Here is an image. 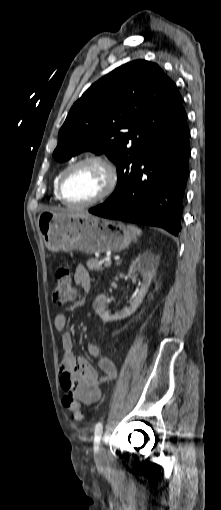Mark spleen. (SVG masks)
<instances>
[{"instance_id":"obj_1","label":"spleen","mask_w":221,"mask_h":510,"mask_svg":"<svg viewBox=\"0 0 221 510\" xmlns=\"http://www.w3.org/2000/svg\"><path fill=\"white\" fill-rule=\"evenodd\" d=\"M133 233H135L136 235H141L142 231L141 229H139L138 227L134 226V225H128L127 226Z\"/></svg>"}]
</instances>
